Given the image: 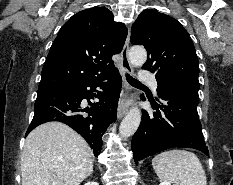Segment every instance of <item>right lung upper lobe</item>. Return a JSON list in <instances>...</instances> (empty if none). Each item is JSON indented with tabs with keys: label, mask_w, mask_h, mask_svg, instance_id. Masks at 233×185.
I'll return each instance as SVG.
<instances>
[{
	"label": "right lung upper lobe",
	"mask_w": 233,
	"mask_h": 185,
	"mask_svg": "<svg viewBox=\"0 0 233 185\" xmlns=\"http://www.w3.org/2000/svg\"><path fill=\"white\" fill-rule=\"evenodd\" d=\"M127 30L105 7L78 12L60 29L45 64L39 89L60 87L103 77L114 68Z\"/></svg>",
	"instance_id": "right-lung-upper-lobe-1"
}]
</instances>
